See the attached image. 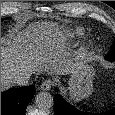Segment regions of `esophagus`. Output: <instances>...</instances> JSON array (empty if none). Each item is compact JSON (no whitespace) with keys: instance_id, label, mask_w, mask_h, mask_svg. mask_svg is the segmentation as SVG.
<instances>
[{"instance_id":"1","label":"esophagus","mask_w":115,"mask_h":115,"mask_svg":"<svg viewBox=\"0 0 115 115\" xmlns=\"http://www.w3.org/2000/svg\"><path fill=\"white\" fill-rule=\"evenodd\" d=\"M52 86L53 82L51 80H46L41 84L40 88L44 91H48L52 88Z\"/></svg>"}]
</instances>
